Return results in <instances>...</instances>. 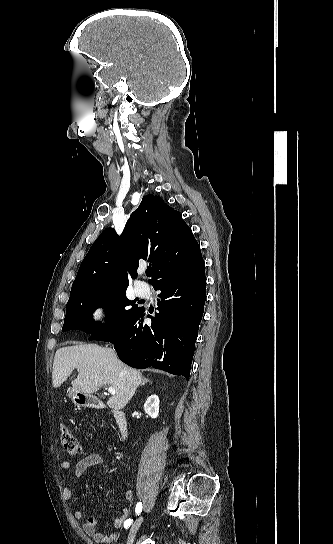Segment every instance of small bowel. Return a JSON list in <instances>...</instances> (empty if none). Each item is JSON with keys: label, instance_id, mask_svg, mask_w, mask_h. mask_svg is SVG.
I'll return each mask as SVG.
<instances>
[{"label": "small bowel", "instance_id": "small-bowel-1", "mask_svg": "<svg viewBox=\"0 0 333 544\" xmlns=\"http://www.w3.org/2000/svg\"><path fill=\"white\" fill-rule=\"evenodd\" d=\"M103 462L102 457L99 454L92 453L87 455L86 457L79 460L73 467L69 461H63L61 463V470H62V481H63V488H62V498L65 501H69L72 498V491L68 485L69 480V472L71 469L73 470L72 476L74 478H78L82 476L89 468L101 465ZM125 497L128 501H132L134 499V491L133 490H127L125 493ZM130 510L128 508L123 509L122 514L115 520L114 522V528L116 531L106 535L102 533L101 531L97 530V518L93 515H89L85 517L83 510L77 509L74 511L73 516L77 520H81L85 518V521L83 522V530L85 533L89 536H91L96 542H112L118 537V531L122 526H124V523L129 519Z\"/></svg>", "mask_w": 333, "mask_h": 544}]
</instances>
